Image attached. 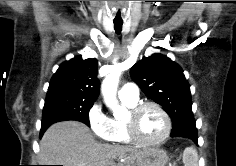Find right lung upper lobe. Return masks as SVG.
<instances>
[{
  "label": "right lung upper lobe",
  "mask_w": 236,
  "mask_h": 166,
  "mask_svg": "<svg viewBox=\"0 0 236 166\" xmlns=\"http://www.w3.org/2000/svg\"><path fill=\"white\" fill-rule=\"evenodd\" d=\"M99 94L97 60L75 57L63 62L50 81L47 97H69L95 101Z\"/></svg>",
  "instance_id": "obj_1"
}]
</instances>
